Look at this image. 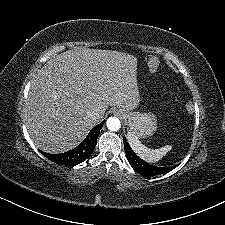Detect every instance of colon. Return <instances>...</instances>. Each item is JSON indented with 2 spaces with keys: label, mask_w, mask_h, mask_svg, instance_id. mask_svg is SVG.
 <instances>
[{
  "label": "colon",
  "mask_w": 225,
  "mask_h": 225,
  "mask_svg": "<svg viewBox=\"0 0 225 225\" xmlns=\"http://www.w3.org/2000/svg\"><path fill=\"white\" fill-rule=\"evenodd\" d=\"M147 64L149 67L154 68L159 65V61L153 57H150L147 61Z\"/></svg>",
  "instance_id": "5ec220e1"
}]
</instances>
